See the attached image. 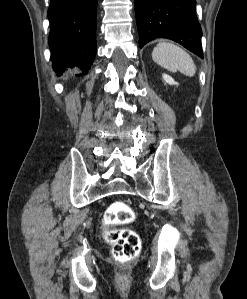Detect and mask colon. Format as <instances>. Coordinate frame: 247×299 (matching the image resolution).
I'll list each match as a JSON object with an SVG mask.
<instances>
[{"mask_svg":"<svg viewBox=\"0 0 247 299\" xmlns=\"http://www.w3.org/2000/svg\"><path fill=\"white\" fill-rule=\"evenodd\" d=\"M134 219L133 209L121 201L112 203L104 215V223L109 227L105 239L112 245L114 258L122 263L134 260L140 253L139 235L132 229L122 227L132 223Z\"/></svg>","mask_w":247,"mask_h":299,"instance_id":"colon-1","label":"colon"}]
</instances>
